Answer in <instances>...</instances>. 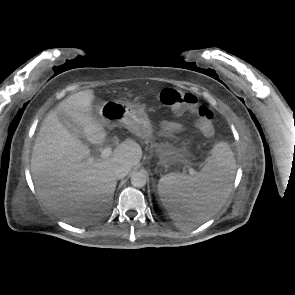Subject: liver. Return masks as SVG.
Instances as JSON below:
<instances>
[{"label":"liver","mask_w":295,"mask_h":295,"mask_svg":"<svg viewBox=\"0 0 295 295\" xmlns=\"http://www.w3.org/2000/svg\"><path fill=\"white\" fill-rule=\"evenodd\" d=\"M93 90L70 95L48 113L31 157V172L43 204L64 221L84 220L108 209L113 201L118 166H136L142 149L133 140L119 144L107 159H93L90 149L59 121L67 116L87 140L100 145L106 131L92 114Z\"/></svg>","instance_id":"6515ba94"}]
</instances>
